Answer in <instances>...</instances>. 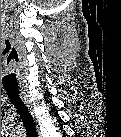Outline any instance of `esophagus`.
Wrapping results in <instances>:
<instances>
[{
  "instance_id": "esophagus-1",
  "label": "esophagus",
  "mask_w": 121,
  "mask_h": 137,
  "mask_svg": "<svg viewBox=\"0 0 121 137\" xmlns=\"http://www.w3.org/2000/svg\"><path fill=\"white\" fill-rule=\"evenodd\" d=\"M19 93H20V97L23 100L24 104H26L28 109L31 111V109H32L31 102L29 101V98H28V96L26 94L25 89L20 88Z\"/></svg>"
}]
</instances>
